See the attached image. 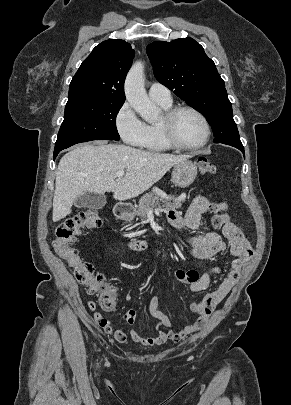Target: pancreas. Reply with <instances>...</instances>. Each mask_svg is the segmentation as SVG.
<instances>
[{
	"label": "pancreas",
	"instance_id": "1",
	"mask_svg": "<svg viewBox=\"0 0 291 405\" xmlns=\"http://www.w3.org/2000/svg\"><path fill=\"white\" fill-rule=\"evenodd\" d=\"M184 199L179 196L166 197L159 194V192L153 189L151 192L141 197L137 206L136 214L142 219L147 218V212L149 209H155L160 206V203H164L166 207L181 208Z\"/></svg>",
	"mask_w": 291,
	"mask_h": 405
}]
</instances>
